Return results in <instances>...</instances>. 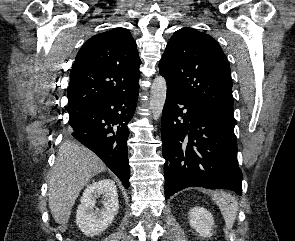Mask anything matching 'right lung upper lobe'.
Returning <instances> with one entry per match:
<instances>
[{
  "mask_svg": "<svg viewBox=\"0 0 295 241\" xmlns=\"http://www.w3.org/2000/svg\"><path fill=\"white\" fill-rule=\"evenodd\" d=\"M140 63L136 43L127 29L115 28L91 37L70 71L67 110L130 90L138 82Z\"/></svg>",
  "mask_w": 295,
  "mask_h": 241,
  "instance_id": "cb5924a9",
  "label": "right lung upper lobe"
}]
</instances>
